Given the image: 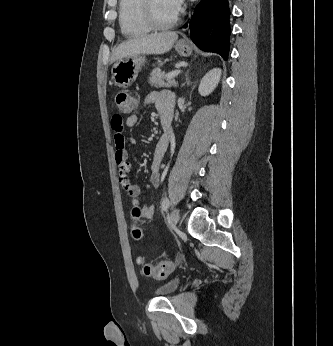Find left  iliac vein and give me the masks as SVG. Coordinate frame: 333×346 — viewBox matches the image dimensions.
<instances>
[{
  "label": "left iliac vein",
  "instance_id": "obj_1",
  "mask_svg": "<svg viewBox=\"0 0 333 346\" xmlns=\"http://www.w3.org/2000/svg\"><path fill=\"white\" fill-rule=\"evenodd\" d=\"M179 220V210L177 208L173 209L171 214H170V228L171 229H176L177 227V223Z\"/></svg>",
  "mask_w": 333,
  "mask_h": 346
}]
</instances>
